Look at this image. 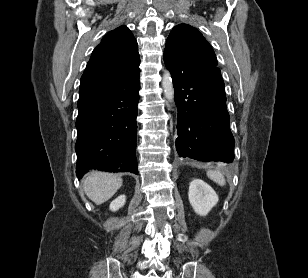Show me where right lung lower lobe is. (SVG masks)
I'll list each match as a JSON object with an SVG mask.
<instances>
[{
	"label": "right lung lower lobe",
	"instance_id": "98d812e1",
	"mask_svg": "<svg viewBox=\"0 0 308 278\" xmlns=\"http://www.w3.org/2000/svg\"><path fill=\"white\" fill-rule=\"evenodd\" d=\"M139 77L114 93L78 100L76 174L90 169L138 174L136 159Z\"/></svg>",
	"mask_w": 308,
	"mask_h": 278
}]
</instances>
